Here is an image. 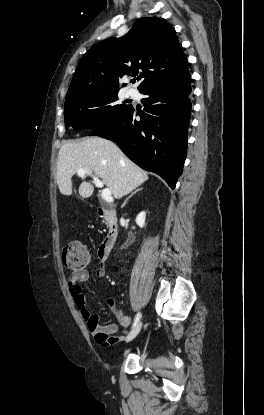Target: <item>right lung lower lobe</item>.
I'll return each mask as SVG.
<instances>
[{"instance_id": "obj_1", "label": "right lung lower lobe", "mask_w": 264, "mask_h": 415, "mask_svg": "<svg viewBox=\"0 0 264 415\" xmlns=\"http://www.w3.org/2000/svg\"><path fill=\"white\" fill-rule=\"evenodd\" d=\"M144 112L140 121L133 106L89 135L117 143L133 162L157 173L174 189L183 172L191 114L190 73L151 84L142 91Z\"/></svg>"}]
</instances>
